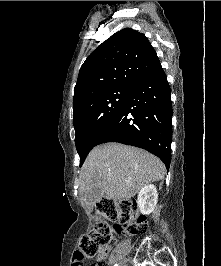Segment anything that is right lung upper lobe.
<instances>
[{"mask_svg": "<svg viewBox=\"0 0 221 266\" xmlns=\"http://www.w3.org/2000/svg\"><path fill=\"white\" fill-rule=\"evenodd\" d=\"M161 66L144 34L125 28L99 45L80 68L73 113L86 97L114 87H133Z\"/></svg>", "mask_w": 221, "mask_h": 266, "instance_id": "obj_1", "label": "right lung upper lobe"}]
</instances>
